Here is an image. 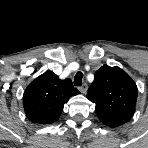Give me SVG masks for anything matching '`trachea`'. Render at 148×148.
I'll list each match as a JSON object with an SVG mask.
<instances>
[{
  "mask_svg": "<svg viewBox=\"0 0 148 148\" xmlns=\"http://www.w3.org/2000/svg\"><path fill=\"white\" fill-rule=\"evenodd\" d=\"M82 79H83V73L81 71H78L74 77V85L75 86H81L82 85Z\"/></svg>",
  "mask_w": 148,
  "mask_h": 148,
  "instance_id": "obj_1",
  "label": "trachea"
}]
</instances>
